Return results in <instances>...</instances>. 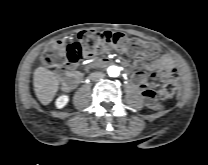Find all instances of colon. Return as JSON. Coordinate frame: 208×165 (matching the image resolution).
Wrapping results in <instances>:
<instances>
[{
	"label": "colon",
	"mask_w": 208,
	"mask_h": 165,
	"mask_svg": "<svg viewBox=\"0 0 208 165\" xmlns=\"http://www.w3.org/2000/svg\"><path fill=\"white\" fill-rule=\"evenodd\" d=\"M107 44H114L118 50L130 56H155L158 53V47L153 43L119 32L87 30L80 32L74 43L66 44L63 40H56L49 44L42 53V62L48 67H58L68 61L91 59L103 51ZM174 92V84L168 83L159 95L162 99H169Z\"/></svg>",
	"instance_id": "1"
}]
</instances>
